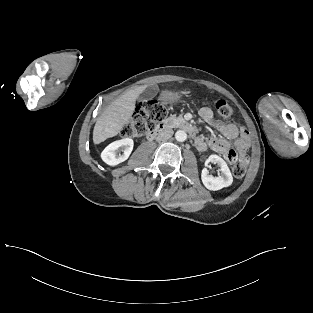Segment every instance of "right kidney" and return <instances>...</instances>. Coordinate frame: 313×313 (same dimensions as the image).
<instances>
[{"label": "right kidney", "instance_id": "right-kidney-1", "mask_svg": "<svg viewBox=\"0 0 313 313\" xmlns=\"http://www.w3.org/2000/svg\"><path fill=\"white\" fill-rule=\"evenodd\" d=\"M134 146L131 138H124L110 143L101 153V159L110 166H116L124 162L130 156ZM122 148L123 154H118Z\"/></svg>", "mask_w": 313, "mask_h": 313}]
</instances>
